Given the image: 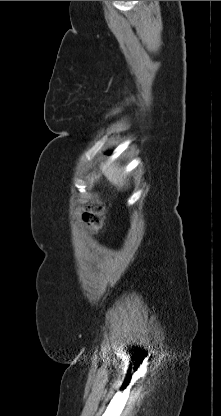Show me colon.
I'll use <instances>...</instances> for the list:
<instances>
[{
	"label": "colon",
	"instance_id": "colon-1",
	"mask_svg": "<svg viewBox=\"0 0 221 416\" xmlns=\"http://www.w3.org/2000/svg\"><path fill=\"white\" fill-rule=\"evenodd\" d=\"M104 219L105 206L102 201L94 200L86 205L83 220L90 230L99 231L104 224Z\"/></svg>",
	"mask_w": 221,
	"mask_h": 416
}]
</instances>
